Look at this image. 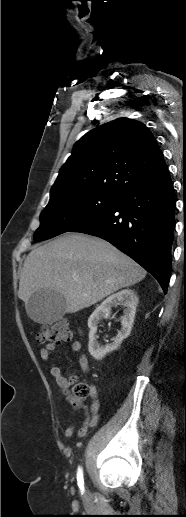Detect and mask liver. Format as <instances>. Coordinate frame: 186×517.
Here are the masks:
<instances>
[{
	"instance_id": "obj_1",
	"label": "liver",
	"mask_w": 186,
	"mask_h": 517,
	"mask_svg": "<svg viewBox=\"0 0 186 517\" xmlns=\"http://www.w3.org/2000/svg\"><path fill=\"white\" fill-rule=\"evenodd\" d=\"M145 276L138 263L109 242L68 233L28 254L20 273L18 297L26 306L36 291L54 290L64 296L66 312L75 313Z\"/></svg>"
}]
</instances>
